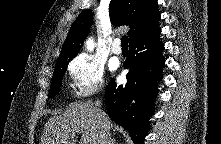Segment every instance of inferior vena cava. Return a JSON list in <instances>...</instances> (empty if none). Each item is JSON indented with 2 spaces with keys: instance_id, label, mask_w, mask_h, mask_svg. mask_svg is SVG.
I'll list each match as a JSON object with an SVG mask.
<instances>
[{
  "instance_id": "inferior-vena-cava-1",
  "label": "inferior vena cava",
  "mask_w": 221,
  "mask_h": 144,
  "mask_svg": "<svg viewBox=\"0 0 221 144\" xmlns=\"http://www.w3.org/2000/svg\"><path fill=\"white\" fill-rule=\"evenodd\" d=\"M102 105L101 100H96L94 103V107L97 111V116L99 119V123L101 125V131H100V140L98 144H110V132H109V127L108 124L105 120V117L103 116L102 111L100 110V107Z\"/></svg>"
}]
</instances>
